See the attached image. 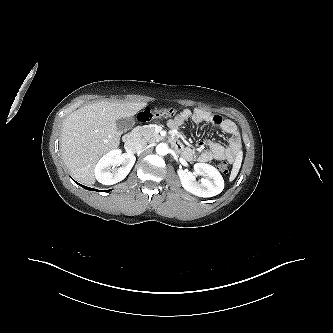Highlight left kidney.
<instances>
[{"instance_id":"5707ae66","label":"left kidney","mask_w":333,"mask_h":333,"mask_svg":"<svg viewBox=\"0 0 333 333\" xmlns=\"http://www.w3.org/2000/svg\"><path fill=\"white\" fill-rule=\"evenodd\" d=\"M196 174H205V178L196 181L194 174L178 170V175L183 188L199 197H212L218 195L224 189V180L220 172L206 163L194 165Z\"/></svg>"}]
</instances>
